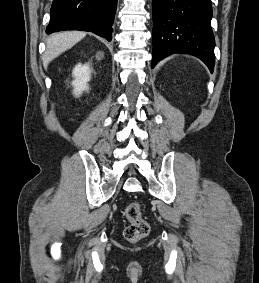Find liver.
I'll return each mask as SVG.
<instances>
[{
	"label": "liver",
	"instance_id": "6515ba94",
	"mask_svg": "<svg viewBox=\"0 0 259 283\" xmlns=\"http://www.w3.org/2000/svg\"><path fill=\"white\" fill-rule=\"evenodd\" d=\"M86 33L81 31H66L51 35L46 41V51L43 56V65L46 69L48 64L66 50L73 47Z\"/></svg>",
	"mask_w": 259,
	"mask_h": 283
}]
</instances>
